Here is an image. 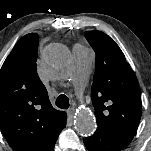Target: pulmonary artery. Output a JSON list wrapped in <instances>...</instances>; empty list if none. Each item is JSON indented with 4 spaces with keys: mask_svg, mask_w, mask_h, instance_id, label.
I'll list each match as a JSON object with an SVG mask.
<instances>
[{
    "mask_svg": "<svg viewBox=\"0 0 151 151\" xmlns=\"http://www.w3.org/2000/svg\"><path fill=\"white\" fill-rule=\"evenodd\" d=\"M93 59L94 53L91 49L80 44L73 47L70 77L78 90H82L86 85Z\"/></svg>",
    "mask_w": 151,
    "mask_h": 151,
    "instance_id": "obj_1",
    "label": "pulmonary artery"
}]
</instances>
